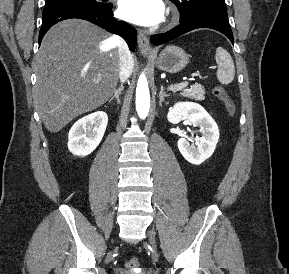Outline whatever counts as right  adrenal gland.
<instances>
[{"instance_id":"obj_1","label":"right adrenal gland","mask_w":289,"mask_h":274,"mask_svg":"<svg viewBox=\"0 0 289 274\" xmlns=\"http://www.w3.org/2000/svg\"><path fill=\"white\" fill-rule=\"evenodd\" d=\"M124 87L123 85H121L117 90H115L114 95L110 98L109 103L112 102L114 99L117 100V103L120 104V99L119 96L121 94V92L123 91Z\"/></svg>"}]
</instances>
